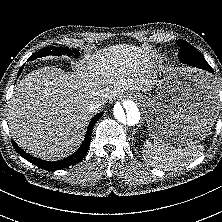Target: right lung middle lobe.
Instances as JSON below:
<instances>
[{
	"label": "right lung middle lobe",
	"mask_w": 222,
	"mask_h": 222,
	"mask_svg": "<svg viewBox=\"0 0 222 222\" xmlns=\"http://www.w3.org/2000/svg\"><path fill=\"white\" fill-rule=\"evenodd\" d=\"M63 55L67 54L68 56H73L77 58L80 54L79 50L77 49H69V48H63V47H51V48H43L33 54L29 59L34 60L36 58H40L47 55Z\"/></svg>",
	"instance_id": "dd1d6c3e"
}]
</instances>
